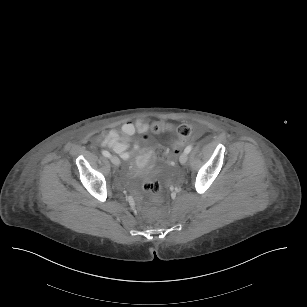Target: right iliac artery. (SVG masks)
I'll list each match as a JSON object with an SVG mask.
<instances>
[{
    "label": "right iliac artery",
    "mask_w": 307,
    "mask_h": 307,
    "mask_svg": "<svg viewBox=\"0 0 307 307\" xmlns=\"http://www.w3.org/2000/svg\"><path fill=\"white\" fill-rule=\"evenodd\" d=\"M102 154H103L105 157H110V156H111L110 153H109L108 151H105V150L102 151Z\"/></svg>",
    "instance_id": "right-iliac-artery-1"
}]
</instances>
